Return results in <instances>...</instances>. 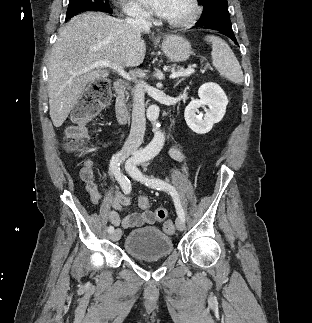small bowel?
<instances>
[{
	"label": "small bowel",
	"mask_w": 312,
	"mask_h": 323,
	"mask_svg": "<svg viewBox=\"0 0 312 323\" xmlns=\"http://www.w3.org/2000/svg\"><path fill=\"white\" fill-rule=\"evenodd\" d=\"M169 153L174 160L184 161L186 159V155L178 148H171ZM80 177L85 184V189L91 202L94 204L102 202L103 197L95 183V175L90 160L84 161L80 170ZM128 204L129 201L122 197L119 192L115 191L110 200L112 209L106 213L107 220L114 226L121 225L124 229L153 225L156 222V212L151 210H146L142 213H128L124 218H121L120 213L125 210Z\"/></svg>",
	"instance_id": "c3829d8e"
}]
</instances>
